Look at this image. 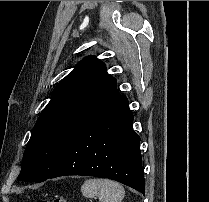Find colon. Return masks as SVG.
I'll list each match as a JSON object with an SVG mask.
<instances>
[{"label": "colon", "mask_w": 209, "mask_h": 202, "mask_svg": "<svg viewBox=\"0 0 209 202\" xmlns=\"http://www.w3.org/2000/svg\"><path fill=\"white\" fill-rule=\"evenodd\" d=\"M38 202H69V201L65 198L57 197V198H54L52 201H48L46 199H41Z\"/></svg>", "instance_id": "obj_1"}]
</instances>
